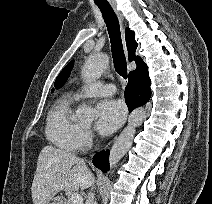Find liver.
I'll return each instance as SVG.
<instances>
[{"instance_id":"obj_1","label":"liver","mask_w":212,"mask_h":204,"mask_svg":"<svg viewBox=\"0 0 212 204\" xmlns=\"http://www.w3.org/2000/svg\"><path fill=\"white\" fill-rule=\"evenodd\" d=\"M91 176L82 159L47 145L41 150L37 161L31 187L33 204H47L61 190H84L89 187Z\"/></svg>"}]
</instances>
